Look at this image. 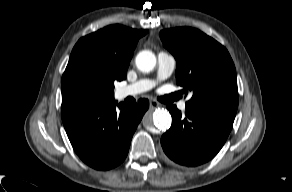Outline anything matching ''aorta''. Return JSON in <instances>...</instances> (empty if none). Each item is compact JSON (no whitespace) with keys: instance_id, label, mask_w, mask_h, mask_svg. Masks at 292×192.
Segmentation results:
<instances>
[{"instance_id":"aorta-1","label":"aorta","mask_w":292,"mask_h":192,"mask_svg":"<svg viewBox=\"0 0 292 192\" xmlns=\"http://www.w3.org/2000/svg\"><path fill=\"white\" fill-rule=\"evenodd\" d=\"M136 65L142 72H151L156 66V57L151 51H142L136 56ZM171 122L170 113L164 109H158L152 116L143 119V125L149 130L166 131Z\"/></svg>"}]
</instances>
